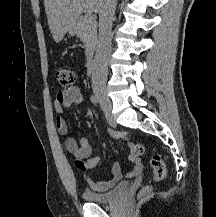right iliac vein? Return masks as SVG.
<instances>
[{"label":"right iliac vein","instance_id":"63e3f726","mask_svg":"<svg viewBox=\"0 0 216 217\" xmlns=\"http://www.w3.org/2000/svg\"><path fill=\"white\" fill-rule=\"evenodd\" d=\"M94 93L96 97L98 98L103 110L110 115L111 113V101L107 95V91L103 87H95L94 88Z\"/></svg>","mask_w":216,"mask_h":217}]
</instances>
